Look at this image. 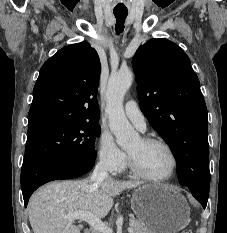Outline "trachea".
<instances>
[{
  "label": "trachea",
  "instance_id": "obj_1",
  "mask_svg": "<svg viewBox=\"0 0 227 233\" xmlns=\"http://www.w3.org/2000/svg\"><path fill=\"white\" fill-rule=\"evenodd\" d=\"M114 15L117 20L115 30L117 34H120L124 30V23L128 15V11H114Z\"/></svg>",
  "mask_w": 227,
  "mask_h": 233
}]
</instances>
